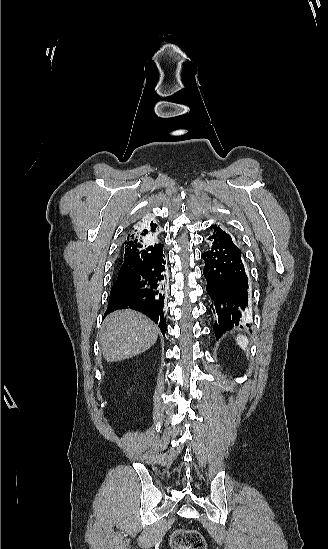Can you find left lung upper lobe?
<instances>
[{"mask_svg":"<svg viewBox=\"0 0 328 549\" xmlns=\"http://www.w3.org/2000/svg\"><path fill=\"white\" fill-rule=\"evenodd\" d=\"M212 227L214 228V232L212 235L220 238V239H223V240H226L230 243H233L232 241V237L231 235L227 234L224 230H222L220 227H217V225H212ZM216 230V231H215ZM234 244V243H233Z\"/></svg>","mask_w":328,"mask_h":549,"instance_id":"1","label":"left lung upper lobe"}]
</instances>
